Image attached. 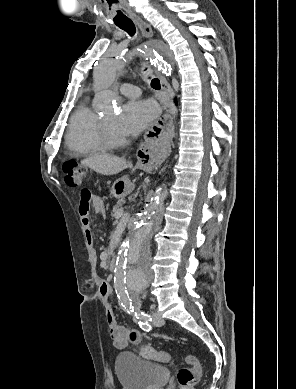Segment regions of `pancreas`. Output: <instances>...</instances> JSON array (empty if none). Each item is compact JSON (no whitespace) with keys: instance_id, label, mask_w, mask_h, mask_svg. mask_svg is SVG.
<instances>
[{"instance_id":"1","label":"pancreas","mask_w":296,"mask_h":389,"mask_svg":"<svg viewBox=\"0 0 296 389\" xmlns=\"http://www.w3.org/2000/svg\"><path fill=\"white\" fill-rule=\"evenodd\" d=\"M123 204H124V200L121 199V200H119V201L117 202V204L113 207V210H112V212H111V216H112L113 218H115L116 213H117L120 209H122Z\"/></svg>"}]
</instances>
